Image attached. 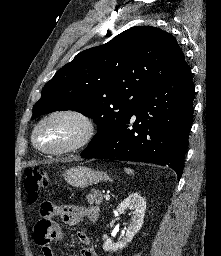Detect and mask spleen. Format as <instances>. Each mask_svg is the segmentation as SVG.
I'll use <instances>...</instances> for the list:
<instances>
[{
	"instance_id": "1",
	"label": "spleen",
	"mask_w": 221,
	"mask_h": 256,
	"mask_svg": "<svg viewBox=\"0 0 221 256\" xmlns=\"http://www.w3.org/2000/svg\"><path fill=\"white\" fill-rule=\"evenodd\" d=\"M125 171H126L128 174L133 173V170H132V169L126 168Z\"/></svg>"
}]
</instances>
